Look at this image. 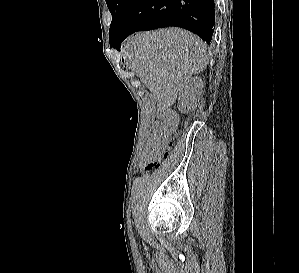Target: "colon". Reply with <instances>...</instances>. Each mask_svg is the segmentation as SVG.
<instances>
[{
  "instance_id": "5ec220e1",
  "label": "colon",
  "mask_w": 299,
  "mask_h": 273,
  "mask_svg": "<svg viewBox=\"0 0 299 273\" xmlns=\"http://www.w3.org/2000/svg\"><path fill=\"white\" fill-rule=\"evenodd\" d=\"M176 130L177 120L174 117H169L155 126L142 159V164L147 170L155 168L167 158Z\"/></svg>"
}]
</instances>
